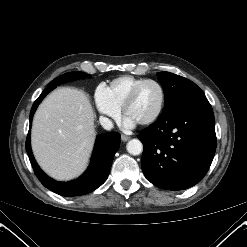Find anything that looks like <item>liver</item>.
<instances>
[{
	"label": "liver",
	"mask_w": 247,
	"mask_h": 247,
	"mask_svg": "<svg viewBox=\"0 0 247 247\" xmlns=\"http://www.w3.org/2000/svg\"><path fill=\"white\" fill-rule=\"evenodd\" d=\"M94 112L88 95L63 87L38 107L32 125V150L41 168L63 181L87 166L95 138Z\"/></svg>",
	"instance_id": "1"
}]
</instances>
